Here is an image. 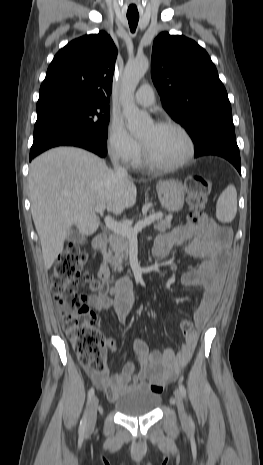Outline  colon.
<instances>
[{
    "label": "colon",
    "mask_w": 263,
    "mask_h": 465,
    "mask_svg": "<svg viewBox=\"0 0 263 465\" xmlns=\"http://www.w3.org/2000/svg\"><path fill=\"white\" fill-rule=\"evenodd\" d=\"M211 189V181L202 175H191L186 179V199L191 209L189 223L201 228H216L203 212ZM86 260L78 243L70 242L53 267L51 287L56 300L64 306L62 325L79 363L87 371L98 373L105 369L107 342L96 326L95 312L82 297L73 294L72 289L84 283L101 294L107 293L108 289L87 274L82 277ZM179 327L184 334L193 331V323L188 319L182 320Z\"/></svg>",
    "instance_id": "5ec220e1"
}]
</instances>
